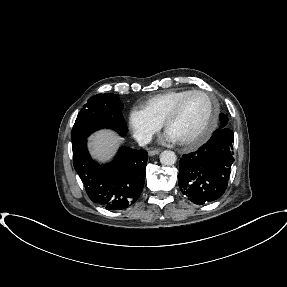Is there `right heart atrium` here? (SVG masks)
Here are the masks:
<instances>
[{"instance_id":"1","label":"right heart atrium","mask_w":287,"mask_h":287,"mask_svg":"<svg viewBox=\"0 0 287 287\" xmlns=\"http://www.w3.org/2000/svg\"><path fill=\"white\" fill-rule=\"evenodd\" d=\"M128 124L133 136L141 144L149 143L161 128V124L149 118L139 108L129 112Z\"/></svg>"}]
</instances>
